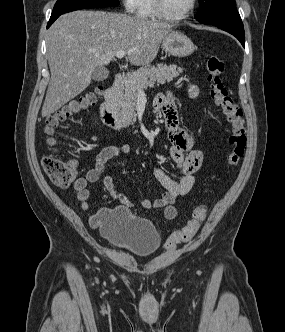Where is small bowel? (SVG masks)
<instances>
[{"mask_svg":"<svg viewBox=\"0 0 285 332\" xmlns=\"http://www.w3.org/2000/svg\"><path fill=\"white\" fill-rule=\"evenodd\" d=\"M188 92L192 98H197L200 93L196 85H190ZM154 108L164 114L167 137L170 142L169 155L179 166L181 178L179 181L172 180L162 169L154 168L153 174L164 188V192L159 198L154 200L142 199L139 204L145 209H162L164 217L172 220L178 214L175 201L178 197L187 195L192 190L195 184V174L202 167L204 156L202 151L196 148L195 137L179 126L176 107L170 96H158L155 99ZM110 140L111 137L106 140L104 147L97 154L95 167L74 182L73 188L82 211H87L90 208L88 185L99 181L105 172L106 164L111 159L130 152L129 145H112ZM74 163L77 166V163ZM103 185L113 199L119 200L127 207L133 206V202L115 187L110 173L103 176ZM105 213L102 210L92 215L90 217L91 226L99 227Z\"/></svg>","mask_w":285,"mask_h":332,"instance_id":"small-bowel-1","label":"small bowel"}]
</instances>
